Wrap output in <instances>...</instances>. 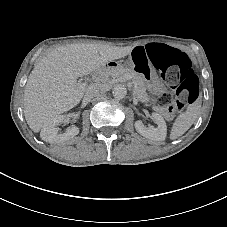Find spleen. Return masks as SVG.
<instances>
[{
    "mask_svg": "<svg viewBox=\"0 0 227 227\" xmlns=\"http://www.w3.org/2000/svg\"><path fill=\"white\" fill-rule=\"evenodd\" d=\"M199 107L188 109L184 113H181L175 123L173 124L170 138L176 139L179 136L183 135L194 123L198 116Z\"/></svg>",
    "mask_w": 227,
    "mask_h": 227,
    "instance_id": "spleen-1",
    "label": "spleen"
}]
</instances>
